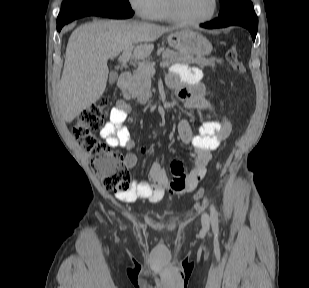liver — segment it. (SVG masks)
Wrapping results in <instances>:
<instances>
[{
  "mask_svg": "<svg viewBox=\"0 0 309 288\" xmlns=\"http://www.w3.org/2000/svg\"><path fill=\"white\" fill-rule=\"evenodd\" d=\"M173 27L136 21H94L77 27L71 34L58 89V106L66 122H72L104 93L109 59L137 44L133 55L148 57L152 42Z\"/></svg>",
  "mask_w": 309,
  "mask_h": 288,
  "instance_id": "6515ba94",
  "label": "liver"
}]
</instances>
